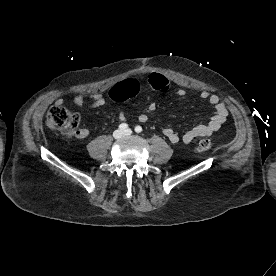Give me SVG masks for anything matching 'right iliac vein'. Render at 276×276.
Returning <instances> with one entry per match:
<instances>
[{"instance_id": "63e3f726", "label": "right iliac vein", "mask_w": 276, "mask_h": 276, "mask_svg": "<svg viewBox=\"0 0 276 276\" xmlns=\"http://www.w3.org/2000/svg\"><path fill=\"white\" fill-rule=\"evenodd\" d=\"M123 136V132L121 130H115L113 133V137L119 139Z\"/></svg>"}]
</instances>
